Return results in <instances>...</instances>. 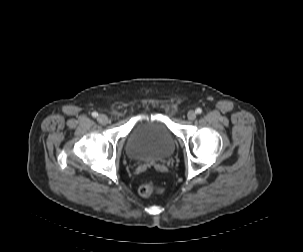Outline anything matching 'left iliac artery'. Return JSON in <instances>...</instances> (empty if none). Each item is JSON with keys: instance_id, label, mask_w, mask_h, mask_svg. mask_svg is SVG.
<instances>
[{"instance_id": "44dca946", "label": "left iliac artery", "mask_w": 303, "mask_h": 252, "mask_svg": "<svg viewBox=\"0 0 303 252\" xmlns=\"http://www.w3.org/2000/svg\"><path fill=\"white\" fill-rule=\"evenodd\" d=\"M196 112H197V114H201L202 113V109L201 108H197Z\"/></svg>"}]
</instances>
